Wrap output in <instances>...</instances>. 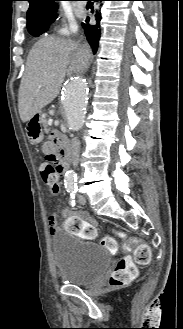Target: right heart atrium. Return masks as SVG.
<instances>
[{
  "mask_svg": "<svg viewBox=\"0 0 183 329\" xmlns=\"http://www.w3.org/2000/svg\"><path fill=\"white\" fill-rule=\"evenodd\" d=\"M77 31V27L75 25V23L71 22V23H67L65 24L60 30H59V34L62 36H71L72 34H74Z\"/></svg>",
  "mask_w": 183,
  "mask_h": 329,
  "instance_id": "d8ad5b80",
  "label": "right heart atrium"
}]
</instances>
